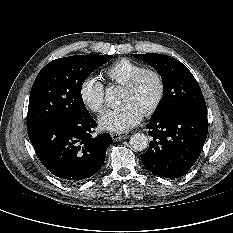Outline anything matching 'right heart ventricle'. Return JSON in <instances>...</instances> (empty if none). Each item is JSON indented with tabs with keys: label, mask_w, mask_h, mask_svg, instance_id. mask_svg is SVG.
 Here are the masks:
<instances>
[{
	"label": "right heart ventricle",
	"mask_w": 233,
	"mask_h": 233,
	"mask_svg": "<svg viewBox=\"0 0 233 233\" xmlns=\"http://www.w3.org/2000/svg\"><path fill=\"white\" fill-rule=\"evenodd\" d=\"M144 70L145 66L128 58H121L112 63L104 71V75L112 84L125 86L132 77Z\"/></svg>",
	"instance_id": "right-heart-ventricle-1"
}]
</instances>
